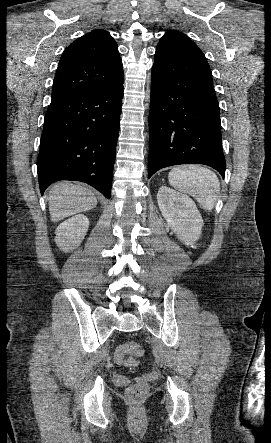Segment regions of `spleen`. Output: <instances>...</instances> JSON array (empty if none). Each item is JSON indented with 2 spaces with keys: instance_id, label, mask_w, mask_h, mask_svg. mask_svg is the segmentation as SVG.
Returning <instances> with one entry per match:
<instances>
[{
  "instance_id": "spleen-1",
  "label": "spleen",
  "mask_w": 271,
  "mask_h": 443,
  "mask_svg": "<svg viewBox=\"0 0 271 443\" xmlns=\"http://www.w3.org/2000/svg\"><path fill=\"white\" fill-rule=\"evenodd\" d=\"M168 180L175 190L193 196L203 210H213L219 198L220 182L212 170L202 166H176L169 172Z\"/></svg>"
}]
</instances>
